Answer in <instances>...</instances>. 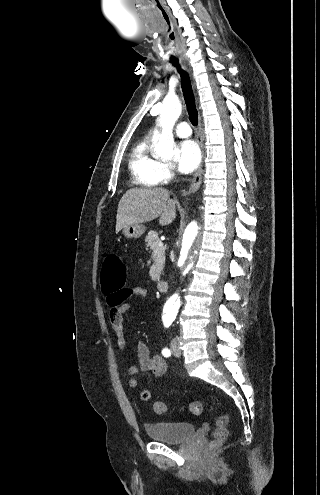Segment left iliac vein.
Returning a JSON list of instances; mask_svg holds the SVG:
<instances>
[{
  "mask_svg": "<svg viewBox=\"0 0 320 495\" xmlns=\"http://www.w3.org/2000/svg\"><path fill=\"white\" fill-rule=\"evenodd\" d=\"M170 347H171L172 354L174 356L179 357L181 355V352H180V349L177 345L176 339L171 340Z\"/></svg>",
  "mask_w": 320,
  "mask_h": 495,
  "instance_id": "left-iliac-vein-1",
  "label": "left iliac vein"
}]
</instances>
